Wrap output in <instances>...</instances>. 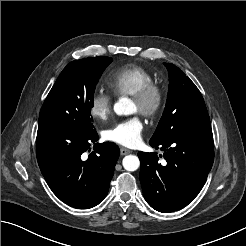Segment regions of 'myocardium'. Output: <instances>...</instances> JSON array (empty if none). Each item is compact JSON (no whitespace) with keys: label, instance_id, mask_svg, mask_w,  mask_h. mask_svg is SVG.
Segmentation results:
<instances>
[{"label":"myocardium","instance_id":"1","mask_svg":"<svg viewBox=\"0 0 246 246\" xmlns=\"http://www.w3.org/2000/svg\"><path fill=\"white\" fill-rule=\"evenodd\" d=\"M132 99L138 104V111L147 118L156 117L164 105V92L156 84H150L135 95Z\"/></svg>","mask_w":246,"mask_h":246}]
</instances>
